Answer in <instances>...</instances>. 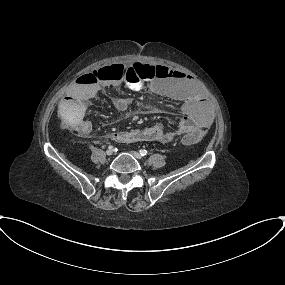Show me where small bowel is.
Listing matches in <instances>:
<instances>
[{
  "label": "small bowel",
  "instance_id": "obj_1",
  "mask_svg": "<svg viewBox=\"0 0 285 285\" xmlns=\"http://www.w3.org/2000/svg\"><path fill=\"white\" fill-rule=\"evenodd\" d=\"M120 69L116 76L98 80L91 84L81 83L77 80L69 87V92L58 106V112L62 120L74 121L80 118V132L88 135L93 126L89 121H83L88 110V102L99 92L102 87L117 88L127 84L133 91L143 88L138 77L130 72V68L117 64ZM149 88L156 94L163 95L172 101L179 103L184 116L175 129L169 128L165 122H157L153 126L112 133L108 138L117 144H130L140 142L169 143L181 139L193 130L204 131L211 125V114L207 99L199 90L193 78L181 71H173L167 78L157 79L149 84ZM124 103L126 107L132 105L129 97L123 96L116 99Z\"/></svg>",
  "mask_w": 285,
  "mask_h": 285
}]
</instances>
